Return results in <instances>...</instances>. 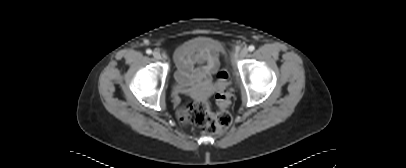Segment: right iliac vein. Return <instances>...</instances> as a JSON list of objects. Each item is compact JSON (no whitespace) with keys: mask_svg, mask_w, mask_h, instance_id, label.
I'll use <instances>...</instances> for the list:
<instances>
[{"mask_svg":"<svg viewBox=\"0 0 406 168\" xmlns=\"http://www.w3.org/2000/svg\"><path fill=\"white\" fill-rule=\"evenodd\" d=\"M153 57H154L156 60H161V59H162V55L160 54L159 51H154V52H153Z\"/></svg>","mask_w":406,"mask_h":168,"instance_id":"obj_1","label":"right iliac vein"}]
</instances>
